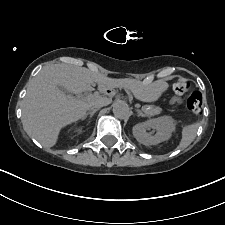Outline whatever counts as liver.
Here are the masks:
<instances>
[{"mask_svg": "<svg viewBox=\"0 0 225 225\" xmlns=\"http://www.w3.org/2000/svg\"><path fill=\"white\" fill-rule=\"evenodd\" d=\"M97 84L102 92L119 86V82L93 73L87 68L67 64H53L44 67L29 83L27 94L23 99L22 123L26 133L35 138L44 147H53L60 130L86 116L89 107L101 96L78 99L67 96L58 86L70 93L81 94L92 91ZM144 89H135L137 99L147 101ZM105 99L106 105L111 102Z\"/></svg>", "mask_w": 225, "mask_h": 225, "instance_id": "liver-1", "label": "liver"}]
</instances>
